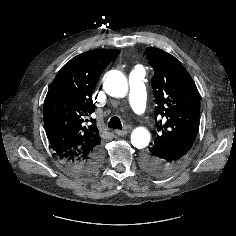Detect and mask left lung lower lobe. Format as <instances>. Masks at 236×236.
<instances>
[{
  "label": "left lung lower lobe",
  "mask_w": 236,
  "mask_h": 236,
  "mask_svg": "<svg viewBox=\"0 0 236 236\" xmlns=\"http://www.w3.org/2000/svg\"><path fill=\"white\" fill-rule=\"evenodd\" d=\"M150 152L142 157V167L150 175L166 176L176 170L189 151L183 147H156L149 148Z\"/></svg>",
  "instance_id": "obj_1"
}]
</instances>
